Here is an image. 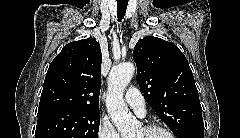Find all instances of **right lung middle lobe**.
Segmentation results:
<instances>
[{"label":"right lung middle lobe","instance_id":"obj_1","mask_svg":"<svg viewBox=\"0 0 240 138\" xmlns=\"http://www.w3.org/2000/svg\"><path fill=\"white\" fill-rule=\"evenodd\" d=\"M100 112L56 110L38 115L35 138H98Z\"/></svg>","mask_w":240,"mask_h":138}]
</instances>
